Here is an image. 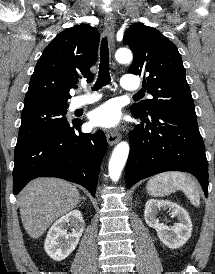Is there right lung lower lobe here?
Listing matches in <instances>:
<instances>
[{"label":"right lung lower lobe","instance_id":"right-lung-lower-lobe-1","mask_svg":"<svg viewBox=\"0 0 215 274\" xmlns=\"http://www.w3.org/2000/svg\"><path fill=\"white\" fill-rule=\"evenodd\" d=\"M81 124V121L67 123L38 135L15 150V195L36 177H58L84 186L95 197L107 141L102 131L81 133Z\"/></svg>","mask_w":215,"mask_h":274}]
</instances>
